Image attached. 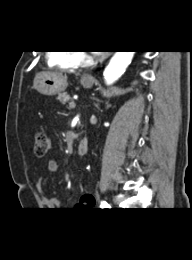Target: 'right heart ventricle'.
<instances>
[{"instance_id": "right-heart-ventricle-1", "label": "right heart ventricle", "mask_w": 192, "mask_h": 260, "mask_svg": "<svg viewBox=\"0 0 192 260\" xmlns=\"http://www.w3.org/2000/svg\"><path fill=\"white\" fill-rule=\"evenodd\" d=\"M48 62L52 66L63 69L77 68L80 62L79 55L75 51H54L48 54Z\"/></svg>"}]
</instances>
